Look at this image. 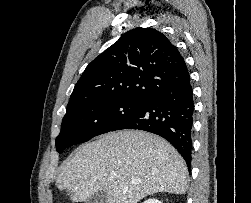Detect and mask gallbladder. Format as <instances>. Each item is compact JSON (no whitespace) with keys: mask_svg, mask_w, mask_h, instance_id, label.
<instances>
[{"mask_svg":"<svg viewBox=\"0 0 251 203\" xmlns=\"http://www.w3.org/2000/svg\"><path fill=\"white\" fill-rule=\"evenodd\" d=\"M85 203H108L107 194L104 190H100L88 198Z\"/></svg>","mask_w":251,"mask_h":203,"instance_id":"obj_1","label":"gallbladder"}]
</instances>
